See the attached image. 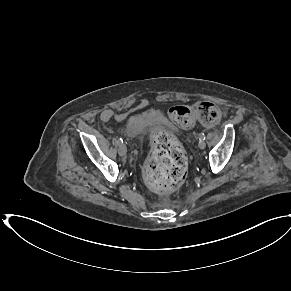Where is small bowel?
<instances>
[{
	"label": "small bowel",
	"mask_w": 291,
	"mask_h": 291,
	"mask_svg": "<svg viewBox=\"0 0 291 291\" xmlns=\"http://www.w3.org/2000/svg\"><path fill=\"white\" fill-rule=\"evenodd\" d=\"M100 118L102 121H108V120H121L123 119V117L119 114H116L114 113L113 111L111 110H104L101 115H100Z\"/></svg>",
	"instance_id": "obj_1"
}]
</instances>
